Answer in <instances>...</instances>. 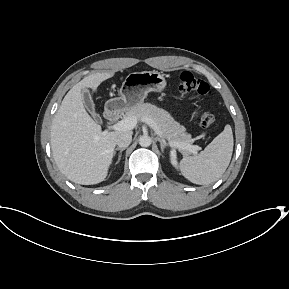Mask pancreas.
<instances>
[{
    "label": "pancreas",
    "mask_w": 289,
    "mask_h": 289,
    "mask_svg": "<svg viewBox=\"0 0 289 289\" xmlns=\"http://www.w3.org/2000/svg\"><path fill=\"white\" fill-rule=\"evenodd\" d=\"M126 117H134L137 121L144 118H151L159 126L161 135L171 144L176 142L191 144V135L186 128L175 121L170 113L150 103H141L138 106L126 111Z\"/></svg>",
    "instance_id": "cf45deb5"
}]
</instances>
